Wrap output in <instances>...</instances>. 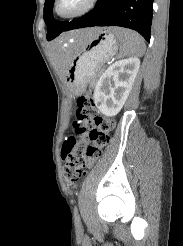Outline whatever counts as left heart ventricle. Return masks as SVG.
<instances>
[{
    "mask_svg": "<svg viewBox=\"0 0 183 246\" xmlns=\"http://www.w3.org/2000/svg\"><path fill=\"white\" fill-rule=\"evenodd\" d=\"M81 0H65L62 4V9L65 11L72 10L80 4Z\"/></svg>",
    "mask_w": 183,
    "mask_h": 246,
    "instance_id": "left-heart-ventricle-1",
    "label": "left heart ventricle"
}]
</instances>
